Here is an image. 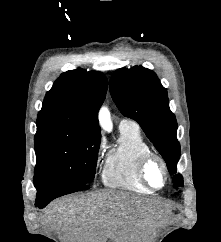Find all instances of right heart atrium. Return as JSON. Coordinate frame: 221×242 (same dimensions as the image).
<instances>
[{"instance_id":"1","label":"right heart atrium","mask_w":221,"mask_h":242,"mask_svg":"<svg viewBox=\"0 0 221 242\" xmlns=\"http://www.w3.org/2000/svg\"><path fill=\"white\" fill-rule=\"evenodd\" d=\"M103 149H104V143L103 141H99L96 148V155H95L97 159L101 156Z\"/></svg>"}]
</instances>
